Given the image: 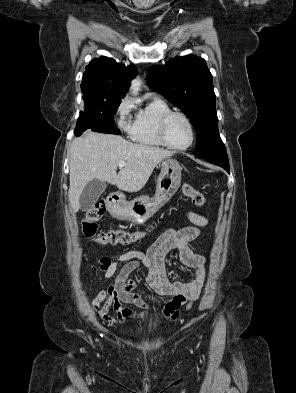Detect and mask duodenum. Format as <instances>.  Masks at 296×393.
I'll return each instance as SVG.
<instances>
[{
	"mask_svg": "<svg viewBox=\"0 0 296 393\" xmlns=\"http://www.w3.org/2000/svg\"><path fill=\"white\" fill-rule=\"evenodd\" d=\"M108 200H109V204L111 207H114L118 204V197L117 196L112 195L109 197Z\"/></svg>",
	"mask_w": 296,
	"mask_h": 393,
	"instance_id": "1",
	"label": "duodenum"
}]
</instances>
